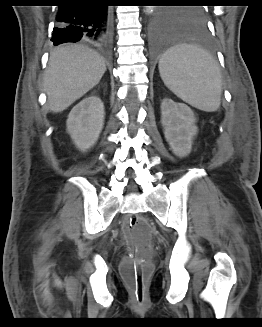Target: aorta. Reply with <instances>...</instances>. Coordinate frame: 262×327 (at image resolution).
Masks as SVG:
<instances>
[{
    "label": "aorta",
    "mask_w": 262,
    "mask_h": 327,
    "mask_svg": "<svg viewBox=\"0 0 262 327\" xmlns=\"http://www.w3.org/2000/svg\"><path fill=\"white\" fill-rule=\"evenodd\" d=\"M145 11L148 15H151L155 12V8H154V6H146Z\"/></svg>",
    "instance_id": "1"
}]
</instances>
